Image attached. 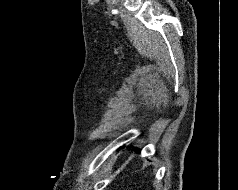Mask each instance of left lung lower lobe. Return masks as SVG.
<instances>
[{
	"label": "left lung lower lobe",
	"mask_w": 238,
	"mask_h": 190,
	"mask_svg": "<svg viewBox=\"0 0 238 190\" xmlns=\"http://www.w3.org/2000/svg\"><path fill=\"white\" fill-rule=\"evenodd\" d=\"M136 151H137V152H140V149H137Z\"/></svg>",
	"instance_id": "left-lung-lower-lobe-1"
}]
</instances>
